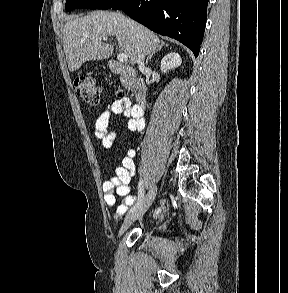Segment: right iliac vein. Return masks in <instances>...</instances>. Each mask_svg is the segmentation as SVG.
Segmentation results:
<instances>
[{"label":"right iliac vein","mask_w":288,"mask_h":293,"mask_svg":"<svg viewBox=\"0 0 288 293\" xmlns=\"http://www.w3.org/2000/svg\"><path fill=\"white\" fill-rule=\"evenodd\" d=\"M157 193V186H153L148 194L146 195V197L144 198L142 204L140 205V207L138 209H136L135 211H133L131 214H129L128 216H126V218L124 219L121 228L119 230L118 236H121L125 230L139 217L143 216V214L148 210V208L152 205L155 196Z\"/></svg>","instance_id":"obj_1"}]
</instances>
